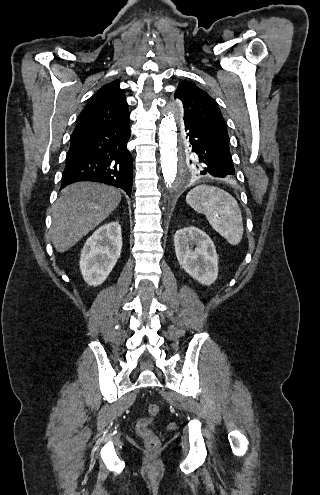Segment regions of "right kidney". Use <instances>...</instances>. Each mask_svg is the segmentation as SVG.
Masks as SVG:
<instances>
[{
	"instance_id": "1",
	"label": "right kidney",
	"mask_w": 320,
	"mask_h": 495,
	"mask_svg": "<svg viewBox=\"0 0 320 495\" xmlns=\"http://www.w3.org/2000/svg\"><path fill=\"white\" fill-rule=\"evenodd\" d=\"M122 249L121 226L110 222L99 227L86 241L80 258V270L90 286L101 285L120 257Z\"/></svg>"
}]
</instances>
